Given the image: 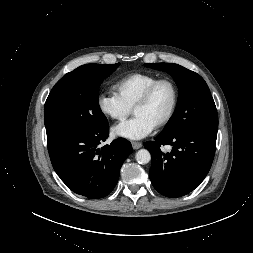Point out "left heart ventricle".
Listing matches in <instances>:
<instances>
[{
  "label": "left heart ventricle",
  "instance_id": "left-heart-ventricle-1",
  "mask_svg": "<svg viewBox=\"0 0 253 253\" xmlns=\"http://www.w3.org/2000/svg\"><path fill=\"white\" fill-rule=\"evenodd\" d=\"M173 93L169 84L163 83L157 87L150 100L134 110L156 126L167 114L172 103Z\"/></svg>",
  "mask_w": 253,
  "mask_h": 253
}]
</instances>
